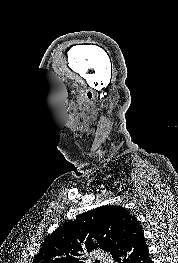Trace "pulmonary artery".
I'll list each match as a JSON object with an SVG mask.
<instances>
[{"instance_id":"e3ab8cb5","label":"pulmonary artery","mask_w":178,"mask_h":263,"mask_svg":"<svg viewBox=\"0 0 178 263\" xmlns=\"http://www.w3.org/2000/svg\"><path fill=\"white\" fill-rule=\"evenodd\" d=\"M96 256L102 263H112V260L100 251L96 252Z\"/></svg>"}]
</instances>
